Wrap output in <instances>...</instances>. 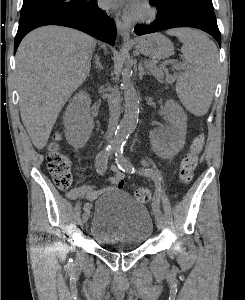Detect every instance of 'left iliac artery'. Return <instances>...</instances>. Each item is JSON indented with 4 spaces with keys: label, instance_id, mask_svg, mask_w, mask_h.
Instances as JSON below:
<instances>
[{
    "label": "left iliac artery",
    "instance_id": "obj_1",
    "mask_svg": "<svg viewBox=\"0 0 245 300\" xmlns=\"http://www.w3.org/2000/svg\"><path fill=\"white\" fill-rule=\"evenodd\" d=\"M115 159H116V163H117L119 169H121L124 172L135 173L136 170H135L134 166L124 155L123 146H117L115 148ZM140 173L148 174L149 176H151V178L154 180V182L156 184L160 183V181H161V178L157 173L147 171V170H145V171L141 170ZM161 201H162L161 193L157 192L156 195L154 196V200L152 203L153 212H154L155 217H159V218L163 219V215H162V213L159 209V205H158L161 203Z\"/></svg>",
    "mask_w": 245,
    "mask_h": 300
}]
</instances>
